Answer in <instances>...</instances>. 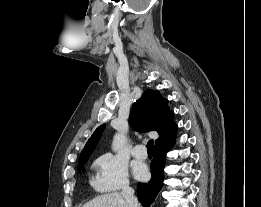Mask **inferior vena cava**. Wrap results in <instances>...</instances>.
I'll list each match as a JSON object with an SVG mask.
<instances>
[{"label":"inferior vena cava","mask_w":261,"mask_h":207,"mask_svg":"<svg viewBox=\"0 0 261 207\" xmlns=\"http://www.w3.org/2000/svg\"><path fill=\"white\" fill-rule=\"evenodd\" d=\"M122 196L128 203L129 207H139L137 198L134 196V190L129 186V183H125L122 188Z\"/></svg>","instance_id":"obj_1"}]
</instances>
